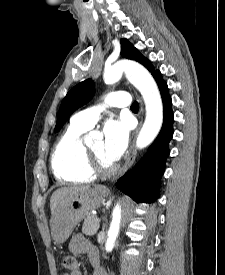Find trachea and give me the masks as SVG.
Instances as JSON below:
<instances>
[{"mask_svg": "<svg viewBox=\"0 0 225 275\" xmlns=\"http://www.w3.org/2000/svg\"><path fill=\"white\" fill-rule=\"evenodd\" d=\"M131 109H138V103H137V102H134V103L131 105Z\"/></svg>", "mask_w": 225, "mask_h": 275, "instance_id": "3493384b", "label": "trachea"}]
</instances>
